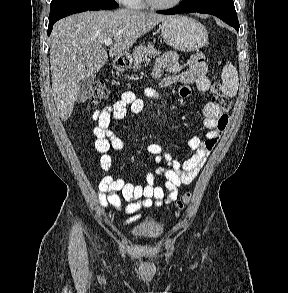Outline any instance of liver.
Masks as SVG:
<instances>
[{
    "mask_svg": "<svg viewBox=\"0 0 288 293\" xmlns=\"http://www.w3.org/2000/svg\"><path fill=\"white\" fill-rule=\"evenodd\" d=\"M168 16L129 9L87 11L55 23L51 34V81L57 112L67 120L83 79L107 62L104 41L114 37L110 57L124 55L140 38Z\"/></svg>",
    "mask_w": 288,
    "mask_h": 293,
    "instance_id": "liver-1",
    "label": "liver"
}]
</instances>
